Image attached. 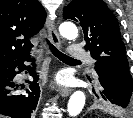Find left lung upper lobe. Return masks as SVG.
I'll use <instances>...</instances> for the list:
<instances>
[{
	"mask_svg": "<svg viewBox=\"0 0 133 118\" xmlns=\"http://www.w3.org/2000/svg\"><path fill=\"white\" fill-rule=\"evenodd\" d=\"M64 19L81 24L85 49L116 79L133 89V79L121 40L118 20L103 0H72L63 10ZM97 96V95H96Z\"/></svg>",
	"mask_w": 133,
	"mask_h": 118,
	"instance_id": "1",
	"label": "left lung upper lobe"
}]
</instances>
